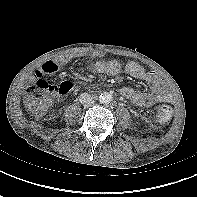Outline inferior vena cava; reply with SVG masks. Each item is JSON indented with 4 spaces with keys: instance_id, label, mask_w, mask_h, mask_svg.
<instances>
[{
    "instance_id": "obj_1",
    "label": "inferior vena cava",
    "mask_w": 197,
    "mask_h": 197,
    "mask_svg": "<svg viewBox=\"0 0 197 197\" xmlns=\"http://www.w3.org/2000/svg\"><path fill=\"white\" fill-rule=\"evenodd\" d=\"M80 103L82 104H89L92 101V97L88 93H82L79 98Z\"/></svg>"
}]
</instances>
